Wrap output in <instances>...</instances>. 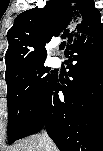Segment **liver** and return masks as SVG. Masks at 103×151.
Listing matches in <instances>:
<instances>
[{"label":"liver","instance_id":"liver-1","mask_svg":"<svg viewBox=\"0 0 103 151\" xmlns=\"http://www.w3.org/2000/svg\"><path fill=\"white\" fill-rule=\"evenodd\" d=\"M43 145L42 135L37 134L14 145L11 151H44ZM49 149L50 151H57L54 144Z\"/></svg>","mask_w":103,"mask_h":151}]
</instances>
